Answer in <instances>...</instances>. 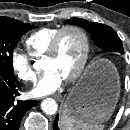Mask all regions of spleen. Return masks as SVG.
I'll list each match as a JSON object with an SVG mask.
<instances>
[{"label":"spleen","instance_id":"3e777b00","mask_svg":"<svg viewBox=\"0 0 130 130\" xmlns=\"http://www.w3.org/2000/svg\"><path fill=\"white\" fill-rule=\"evenodd\" d=\"M61 130H103L104 125L102 123H97L94 125H90L68 115H62L60 120Z\"/></svg>","mask_w":130,"mask_h":130}]
</instances>
